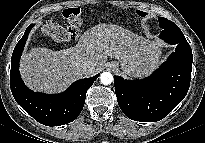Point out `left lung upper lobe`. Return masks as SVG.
Masks as SVG:
<instances>
[{
    "label": "left lung upper lobe",
    "mask_w": 205,
    "mask_h": 143,
    "mask_svg": "<svg viewBox=\"0 0 205 143\" xmlns=\"http://www.w3.org/2000/svg\"><path fill=\"white\" fill-rule=\"evenodd\" d=\"M159 25L162 29L170 28L173 29L174 27H178L176 24H174L172 21L167 20L166 18L159 17Z\"/></svg>",
    "instance_id": "left-lung-upper-lobe-1"
}]
</instances>
